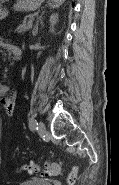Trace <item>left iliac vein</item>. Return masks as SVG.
<instances>
[{
  "mask_svg": "<svg viewBox=\"0 0 119 185\" xmlns=\"http://www.w3.org/2000/svg\"><path fill=\"white\" fill-rule=\"evenodd\" d=\"M38 133L41 136L45 135V133H46L45 125L42 122H40L38 125Z\"/></svg>",
  "mask_w": 119,
  "mask_h": 185,
  "instance_id": "4c4485c4",
  "label": "left iliac vein"
}]
</instances>
